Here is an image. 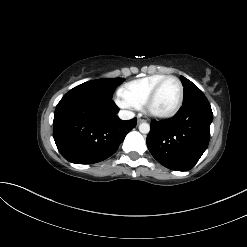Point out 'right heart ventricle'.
I'll return each mask as SVG.
<instances>
[{"label": "right heart ventricle", "instance_id": "right-heart-ventricle-1", "mask_svg": "<svg viewBox=\"0 0 247 247\" xmlns=\"http://www.w3.org/2000/svg\"><path fill=\"white\" fill-rule=\"evenodd\" d=\"M165 76V74H154L128 82L121 88V95L140 108L154 86Z\"/></svg>", "mask_w": 247, "mask_h": 247}]
</instances>
